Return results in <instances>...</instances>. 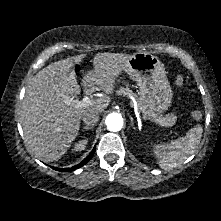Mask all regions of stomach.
Returning a JSON list of instances; mask_svg holds the SVG:
<instances>
[{
    "label": "stomach",
    "instance_id": "stomach-1",
    "mask_svg": "<svg viewBox=\"0 0 221 221\" xmlns=\"http://www.w3.org/2000/svg\"><path fill=\"white\" fill-rule=\"evenodd\" d=\"M125 72L136 81L140 100L148 109L159 114L170 107L173 91L158 57L145 52L135 53L128 59ZM88 78L89 74L84 76V84Z\"/></svg>",
    "mask_w": 221,
    "mask_h": 221
}]
</instances>
